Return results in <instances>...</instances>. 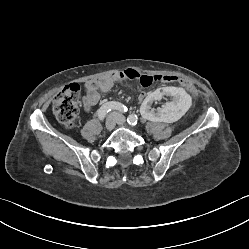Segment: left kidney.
<instances>
[{"mask_svg": "<svg viewBox=\"0 0 249 249\" xmlns=\"http://www.w3.org/2000/svg\"><path fill=\"white\" fill-rule=\"evenodd\" d=\"M137 112L145 122L172 123L180 120L191 108L189 95L178 85L160 87L151 93L143 92L138 97ZM160 102L162 106L155 107Z\"/></svg>", "mask_w": 249, "mask_h": 249, "instance_id": "left-kidney-1", "label": "left kidney"}]
</instances>
